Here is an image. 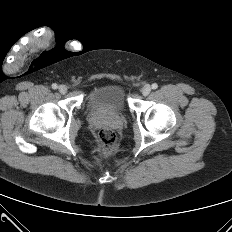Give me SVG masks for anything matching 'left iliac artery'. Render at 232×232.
I'll return each instance as SVG.
<instances>
[{"mask_svg": "<svg viewBox=\"0 0 232 232\" xmlns=\"http://www.w3.org/2000/svg\"><path fill=\"white\" fill-rule=\"evenodd\" d=\"M158 88V85L156 83H153L152 84V89H157Z\"/></svg>", "mask_w": 232, "mask_h": 232, "instance_id": "left-iliac-artery-1", "label": "left iliac artery"}]
</instances>
